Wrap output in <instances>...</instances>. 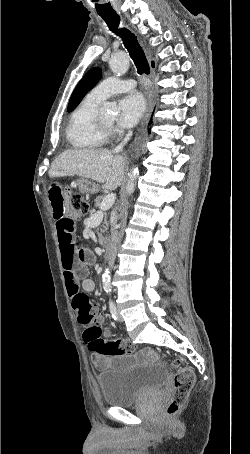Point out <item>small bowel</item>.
Instances as JSON below:
<instances>
[{
  "label": "small bowel",
  "instance_id": "small-bowel-1",
  "mask_svg": "<svg viewBox=\"0 0 250 454\" xmlns=\"http://www.w3.org/2000/svg\"><path fill=\"white\" fill-rule=\"evenodd\" d=\"M69 194L70 187L57 182H53L48 191L56 220L66 289L81 323L83 318L90 315L100 318L98 308L88 299V294L95 291V282L86 277L87 267L93 264L95 258L91 250L77 246L76 222L66 215ZM92 362L100 370H106L116 363L113 359L94 352Z\"/></svg>",
  "mask_w": 250,
  "mask_h": 454
}]
</instances>
